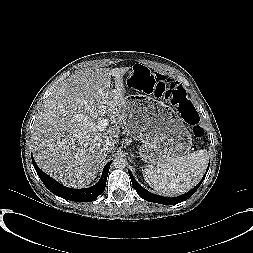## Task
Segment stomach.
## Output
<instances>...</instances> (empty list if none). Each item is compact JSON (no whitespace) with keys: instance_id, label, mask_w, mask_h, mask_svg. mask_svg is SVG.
<instances>
[{"instance_id":"0dacf381","label":"stomach","mask_w":253,"mask_h":253,"mask_svg":"<svg viewBox=\"0 0 253 253\" xmlns=\"http://www.w3.org/2000/svg\"><path fill=\"white\" fill-rule=\"evenodd\" d=\"M125 131L142 143L143 162L155 165L186 154L192 136L183 118L164 102L144 95L125 97Z\"/></svg>"}]
</instances>
